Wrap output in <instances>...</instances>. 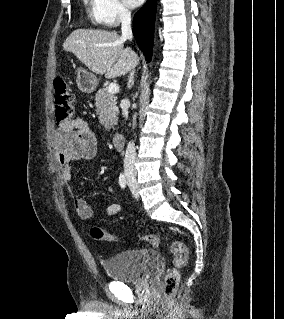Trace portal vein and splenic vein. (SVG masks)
Returning a JSON list of instances; mask_svg holds the SVG:
<instances>
[{"instance_id": "1", "label": "portal vein and splenic vein", "mask_w": 284, "mask_h": 319, "mask_svg": "<svg viewBox=\"0 0 284 319\" xmlns=\"http://www.w3.org/2000/svg\"><path fill=\"white\" fill-rule=\"evenodd\" d=\"M108 92L111 94H116L119 92V86L116 83H111L108 86Z\"/></svg>"}]
</instances>
